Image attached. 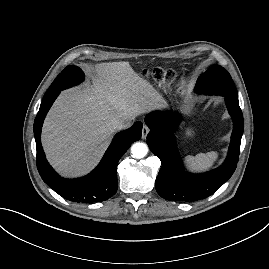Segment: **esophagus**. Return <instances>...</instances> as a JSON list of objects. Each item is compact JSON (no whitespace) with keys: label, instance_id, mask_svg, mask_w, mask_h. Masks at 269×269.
Masks as SVG:
<instances>
[{"label":"esophagus","instance_id":"1","mask_svg":"<svg viewBox=\"0 0 269 269\" xmlns=\"http://www.w3.org/2000/svg\"><path fill=\"white\" fill-rule=\"evenodd\" d=\"M150 129L147 125H144L142 128V138L145 139L149 133Z\"/></svg>","mask_w":269,"mask_h":269}]
</instances>
